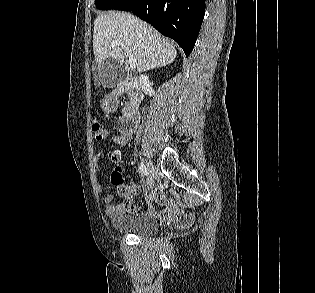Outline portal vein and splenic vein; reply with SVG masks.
Segmentation results:
<instances>
[{
  "instance_id": "18ae733b",
  "label": "portal vein and splenic vein",
  "mask_w": 315,
  "mask_h": 293,
  "mask_svg": "<svg viewBox=\"0 0 315 293\" xmlns=\"http://www.w3.org/2000/svg\"><path fill=\"white\" fill-rule=\"evenodd\" d=\"M117 46H121L124 48V52H125V55L128 57V62H129V66L131 69H135L136 68V63L133 59V57L130 55V51L124 46V44L120 41H114L110 44V49L111 48H115Z\"/></svg>"
}]
</instances>
